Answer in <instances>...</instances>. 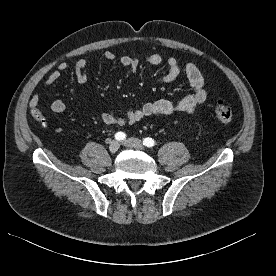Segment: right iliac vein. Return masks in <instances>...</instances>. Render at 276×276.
<instances>
[{
	"instance_id": "right-iliac-vein-1",
	"label": "right iliac vein",
	"mask_w": 276,
	"mask_h": 276,
	"mask_svg": "<svg viewBox=\"0 0 276 276\" xmlns=\"http://www.w3.org/2000/svg\"><path fill=\"white\" fill-rule=\"evenodd\" d=\"M119 148H120V144L116 140H113L109 145V150L111 153L117 152Z\"/></svg>"
}]
</instances>
